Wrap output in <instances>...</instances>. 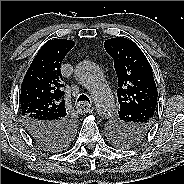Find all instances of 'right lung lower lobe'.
Masks as SVG:
<instances>
[{"label":"right lung lower lobe","mask_w":184,"mask_h":184,"mask_svg":"<svg viewBox=\"0 0 184 184\" xmlns=\"http://www.w3.org/2000/svg\"><path fill=\"white\" fill-rule=\"evenodd\" d=\"M23 121L30 136L44 147L62 144L74 130V122L68 118L50 122L27 115L23 117Z\"/></svg>","instance_id":"right-lung-lower-lobe-1"}]
</instances>
